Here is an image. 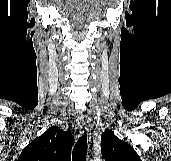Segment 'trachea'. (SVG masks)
<instances>
[{
    "label": "trachea",
    "instance_id": "3493384b",
    "mask_svg": "<svg viewBox=\"0 0 171 161\" xmlns=\"http://www.w3.org/2000/svg\"><path fill=\"white\" fill-rule=\"evenodd\" d=\"M87 135L84 133L81 137H79L76 142L74 152L72 155V161H85L87 155Z\"/></svg>",
    "mask_w": 171,
    "mask_h": 161
}]
</instances>
